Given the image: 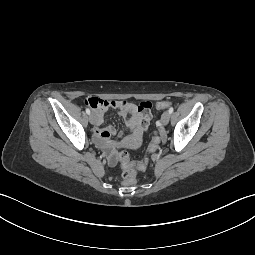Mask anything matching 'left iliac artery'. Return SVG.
Returning <instances> with one entry per match:
<instances>
[{"mask_svg": "<svg viewBox=\"0 0 255 255\" xmlns=\"http://www.w3.org/2000/svg\"><path fill=\"white\" fill-rule=\"evenodd\" d=\"M168 111H169L170 114H172L173 111H174V108H173V107H170Z\"/></svg>", "mask_w": 255, "mask_h": 255, "instance_id": "obj_1", "label": "left iliac artery"}]
</instances>
